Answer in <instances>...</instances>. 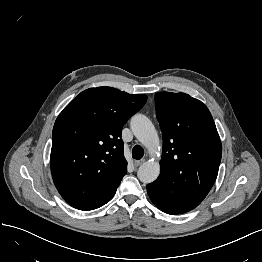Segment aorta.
Masks as SVG:
<instances>
[{
	"label": "aorta",
	"mask_w": 262,
	"mask_h": 262,
	"mask_svg": "<svg viewBox=\"0 0 262 262\" xmlns=\"http://www.w3.org/2000/svg\"><path fill=\"white\" fill-rule=\"evenodd\" d=\"M130 127L135 137L149 150L154 153L159 148L157 131L148 117L136 114L132 117ZM160 174V164L156 160L144 162L137 171L139 180L143 183L154 182Z\"/></svg>",
	"instance_id": "aorta-1"
}]
</instances>
